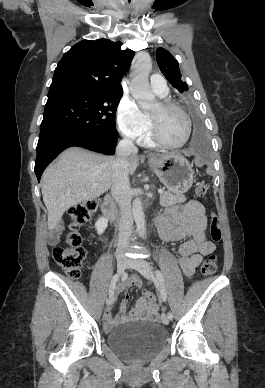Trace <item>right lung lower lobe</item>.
Listing matches in <instances>:
<instances>
[{"instance_id": "right-lung-lower-lobe-1", "label": "right lung lower lobe", "mask_w": 265, "mask_h": 388, "mask_svg": "<svg viewBox=\"0 0 265 388\" xmlns=\"http://www.w3.org/2000/svg\"><path fill=\"white\" fill-rule=\"evenodd\" d=\"M117 140L118 138H105L74 128L57 129L40 135L35 161V173L38 181H40L46 166L64 149L79 146L98 153L113 155Z\"/></svg>"}]
</instances>
